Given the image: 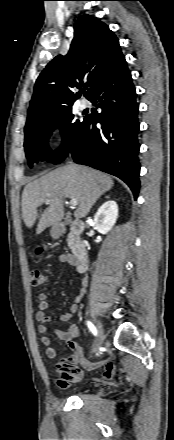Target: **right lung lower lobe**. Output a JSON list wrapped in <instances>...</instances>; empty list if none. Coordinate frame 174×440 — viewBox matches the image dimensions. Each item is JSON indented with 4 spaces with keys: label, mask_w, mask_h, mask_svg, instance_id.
<instances>
[{
    "label": "right lung lower lobe",
    "mask_w": 174,
    "mask_h": 440,
    "mask_svg": "<svg viewBox=\"0 0 174 440\" xmlns=\"http://www.w3.org/2000/svg\"><path fill=\"white\" fill-rule=\"evenodd\" d=\"M89 100L102 112L96 118L84 117L82 130L70 146L73 160L119 177L136 199L140 185L138 105L126 61L103 79ZM97 123L102 126L97 128Z\"/></svg>",
    "instance_id": "right-lung-lower-lobe-1"
}]
</instances>
